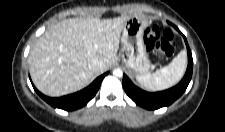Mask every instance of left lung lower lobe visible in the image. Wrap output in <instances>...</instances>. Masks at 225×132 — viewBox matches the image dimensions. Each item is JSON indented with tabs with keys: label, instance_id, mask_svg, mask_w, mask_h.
<instances>
[{
	"label": "left lung lower lobe",
	"instance_id": "1",
	"mask_svg": "<svg viewBox=\"0 0 225 132\" xmlns=\"http://www.w3.org/2000/svg\"><path fill=\"white\" fill-rule=\"evenodd\" d=\"M174 28L179 31L177 27L174 26ZM183 37L187 46L188 67L185 76L175 87L161 92L149 93L136 87L126 75H123L124 90L137 105L149 110L158 109L160 107L169 106L185 92L192 77L193 59L187 40L184 35Z\"/></svg>",
	"mask_w": 225,
	"mask_h": 132
}]
</instances>
